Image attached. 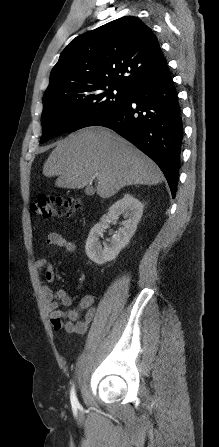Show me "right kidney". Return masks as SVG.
Masks as SVG:
<instances>
[{"mask_svg": "<svg viewBox=\"0 0 219 447\" xmlns=\"http://www.w3.org/2000/svg\"><path fill=\"white\" fill-rule=\"evenodd\" d=\"M142 214L143 204L133 195L125 194L123 198L116 201L88 235L85 245L88 258L98 265L114 260L135 234ZM120 215H123L125 219L122 227L109 240L110 244L102 247L99 237L109 227V223L118 220Z\"/></svg>", "mask_w": 219, "mask_h": 447, "instance_id": "right-kidney-1", "label": "right kidney"}]
</instances>
